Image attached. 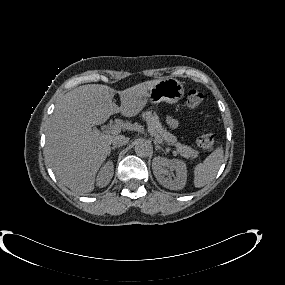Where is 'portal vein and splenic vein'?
Returning a JSON list of instances; mask_svg holds the SVG:
<instances>
[{"mask_svg":"<svg viewBox=\"0 0 285 285\" xmlns=\"http://www.w3.org/2000/svg\"><path fill=\"white\" fill-rule=\"evenodd\" d=\"M120 131H121V126H119V125H117V124L112 125V126L108 129V132H110V133H112V134H117V133H119ZM156 139H157V141H158L159 143L162 144V140H160V139H158V138H156Z\"/></svg>","mask_w":285,"mask_h":285,"instance_id":"1","label":"portal vein and splenic vein"}]
</instances>
